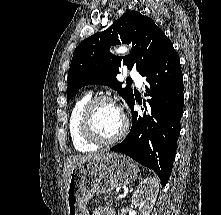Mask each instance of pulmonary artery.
Here are the masks:
<instances>
[{"instance_id": "obj_1", "label": "pulmonary artery", "mask_w": 221, "mask_h": 215, "mask_svg": "<svg viewBox=\"0 0 221 215\" xmlns=\"http://www.w3.org/2000/svg\"><path fill=\"white\" fill-rule=\"evenodd\" d=\"M128 75L135 80L138 87L142 86V78L135 69L129 70Z\"/></svg>"}]
</instances>
